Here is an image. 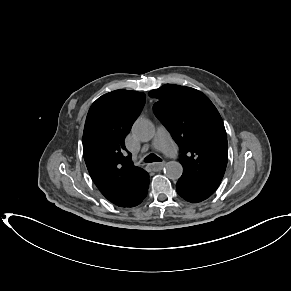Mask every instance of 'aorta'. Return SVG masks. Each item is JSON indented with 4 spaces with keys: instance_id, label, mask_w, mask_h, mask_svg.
Wrapping results in <instances>:
<instances>
[{
    "instance_id": "obj_1",
    "label": "aorta",
    "mask_w": 291,
    "mask_h": 291,
    "mask_svg": "<svg viewBox=\"0 0 291 291\" xmlns=\"http://www.w3.org/2000/svg\"><path fill=\"white\" fill-rule=\"evenodd\" d=\"M132 133L137 140L148 142L154 137L155 127L151 121L139 119L134 123ZM165 173L168 178L176 180L181 177L183 167L177 161H169L165 165Z\"/></svg>"
}]
</instances>
